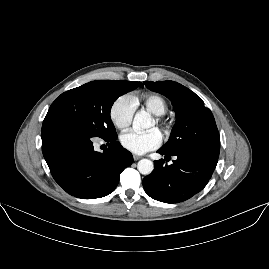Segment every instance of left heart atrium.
<instances>
[{
    "instance_id": "left-heart-atrium-1",
    "label": "left heart atrium",
    "mask_w": 269,
    "mask_h": 269,
    "mask_svg": "<svg viewBox=\"0 0 269 269\" xmlns=\"http://www.w3.org/2000/svg\"><path fill=\"white\" fill-rule=\"evenodd\" d=\"M121 146L134 154H145L156 149L162 143V135L157 129L146 133L126 131L120 135Z\"/></svg>"
}]
</instances>
